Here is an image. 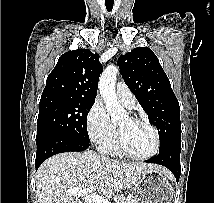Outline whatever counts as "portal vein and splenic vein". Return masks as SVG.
Listing matches in <instances>:
<instances>
[{
    "label": "portal vein and splenic vein",
    "instance_id": "portal-vein-and-splenic-vein-1",
    "mask_svg": "<svg viewBox=\"0 0 214 203\" xmlns=\"http://www.w3.org/2000/svg\"><path fill=\"white\" fill-rule=\"evenodd\" d=\"M96 187L90 188H72L68 192L73 196L82 197L86 203H109L103 196L95 194ZM123 201L122 203H126Z\"/></svg>",
    "mask_w": 214,
    "mask_h": 203
}]
</instances>
